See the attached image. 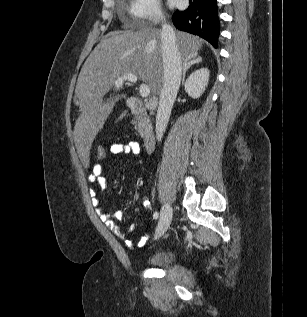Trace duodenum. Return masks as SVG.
<instances>
[{
  "label": "duodenum",
  "mask_w": 307,
  "mask_h": 317,
  "mask_svg": "<svg viewBox=\"0 0 307 317\" xmlns=\"http://www.w3.org/2000/svg\"><path fill=\"white\" fill-rule=\"evenodd\" d=\"M129 110L132 114L141 118V134L144 147L147 151H151L155 145V133L152 125L146 119V107L140 100L132 98L129 100Z\"/></svg>",
  "instance_id": "1"
}]
</instances>
